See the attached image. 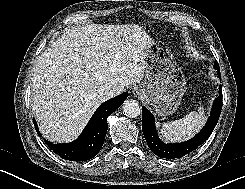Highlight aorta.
<instances>
[{"instance_id": "762f6f07", "label": "aorta", "mask_w": 245, "mask_h": 189, "mask_svg": "<svg viewBox=\"0 0 245 189\" xmlns=\"http://www.w3.org/2000/svg\"><path fill=\"white\" fill-rule=\"evenodd\" d=\"M123 112L129 118H136L141 113V108L136 100L129 99L123 105Z\"/></svg>"}]
</instances>
